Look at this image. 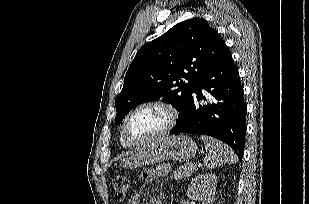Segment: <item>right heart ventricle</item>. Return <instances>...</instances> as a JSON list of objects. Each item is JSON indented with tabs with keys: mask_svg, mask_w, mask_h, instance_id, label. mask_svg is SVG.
I'll list each match as a JSON object with an SVG mask.
<instances>
[{
	"mask_svg": "<svg viewBox=\"0 0 309 204\" xmlns=\"http://www.w3.org/2000/svg\"><path fill=\"white\" fill-rule=\"evenodd\" d=\"M121 143H122L123 146H128V145L124 142L123 139H121Z\"/></svg>",
	"mask_w": 309,
	"mask_h": 204,
	"instance_id": "right-heart-ventricle-1",
	"label": "right heart ventricle"
}]
</instances>
